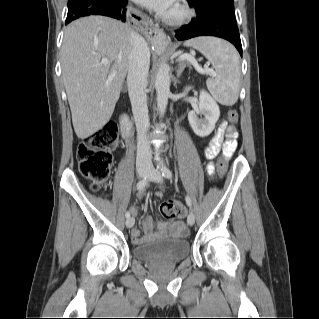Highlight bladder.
Listing matches in <instances>:
<instances>
[{
    "label": "bladder",
    "mask_w": 319,
    "mask_h": 319,
    "mask_svg": "<svg viewBox=\"0 0 319 319\" xmlns=\"http://www.w3.org/2000/svg\"><path fill=\"white\" fill-rule=\"evenodd\" d=\"M134 253L143 261L167 259L177 262L190 253V243L186 239L170 236L137 245Z\"/></svg>",
    "instance_id": "31cf9c89"
}]
</instances>
